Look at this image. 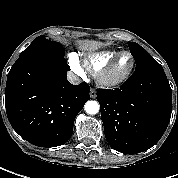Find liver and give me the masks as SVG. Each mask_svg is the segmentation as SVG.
<instances>
[{
	"mask_svg": "<svg viewBox=\"0 0 178 178\" xmlns=\"http://www.w3.org/2000/svg\"><path fill=\"white\" fill-rule=\"evenodd\" d=\"M79 44L85 50H95L101 45V43L96 41H81Z\"/></svg>",
	"mask_w": 178,
	"mask_h": 178,
	"instance_id": "1",
	"label": "liver"
}]
</instances>
